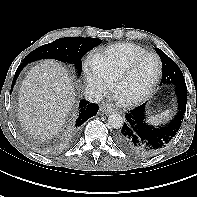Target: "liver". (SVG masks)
Returning a JSON list of instances; mask_svg holds the SVG:
<instances>
[{
    "label": "liver",
    "mask_w": 197,
    "mask_h": 197,
    "mask_svg": "<svg viewBox=\"0 0 197 197\" xmlns=\"http://www.w3.org/2000/svg\"><path fill=\"white\" fill-rule=\"evenodd\" d=\"M72 80L55 60H44L31 68L19 90L21 125L41 139L57 134L75 102Z\"/></svg>",
    "instance_id": "liver-1"
}]
</instances>
